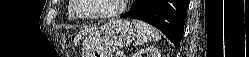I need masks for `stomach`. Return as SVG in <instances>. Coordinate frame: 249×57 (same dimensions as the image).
<instances>
[{"label":"stomach","mask_w":249,"mask_h":57,"mask_svg":"<svg viewBox=\"0 0 249 57\" xmlns=\"http://www.w3.org/2000/svg\"><path fill=\"white\" fill-rule=\"evenodd\" d=\"M135 37L136 28L129 20L110 21L88 34L82 57H112V49L128 46Z\"/></svg>","instance_id":"stomach-1"}]
</instances>
